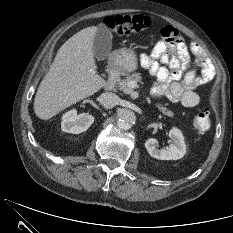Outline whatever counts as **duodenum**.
<instances>
[{
    "label": "duodenum",
    "mask_w": 233,
    "mask_h": 233,
    "mask_svg": "<svg viewBox=\"0 0 233 233\" xmlns=\"http://www.w3.org/2000/svg\"><path fill=\"white\" fill-rule=\"evenodd\" d=\"M118 78V71L115 68H111L108 71V79L106 83V88L107 89H112L117 81Z\"/></svg>",
    "instance_id": "obj_1"
}]
</instances>
